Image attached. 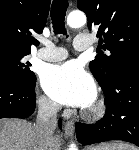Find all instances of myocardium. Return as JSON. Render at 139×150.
Instances as JSON below:
<instances>
[{"label":"myocardium","instance_id":"f54148a6","mask_svg":"<svg viewBox=\"0 0 139 150\" xmlns=\"http://www.w3.org/2000/svg\"><path fill=\"white\" fill-rule=\"evenodd\" d=\"M106 104L103 100H97L85 113L84 116L89 120H98L104 116Z\"/></svg>","mask_w":139,"mask_h":150}]
</instances>
